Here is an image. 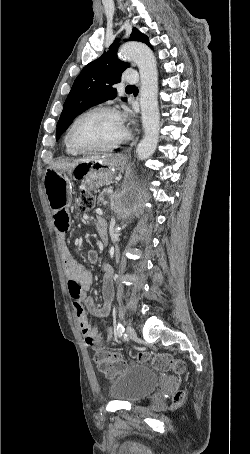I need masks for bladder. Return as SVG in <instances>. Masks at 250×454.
<instances>
[{
    "instance_id": "bladder-1",
    "label": "bladder",
    "mask_w": 250,
    "mask_h": 454,
    "mask_svg": "<svg viewBox=\"0 0 250 454\" xmlns=\"http://www.w3.org/2000/svg\"><path fill=\"white\" fill-rule=\"evenodd\" d=\"M159 380L147 365H130L111 379L109 395L117 401L138 402L154 391Z\"/></svg>"
}]
</instances>
